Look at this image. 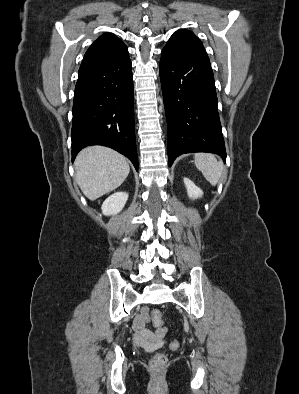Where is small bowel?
I'll use <instances>...</instances> for the list:
<instances>
[{"label":"small bowel","instance_id":"obj_1","mask_svg":"<svg viewBox=\"0 0 299 394\" xmlns=\"http://www.w3.org/2000/svg\"><path fill=\"white\" fill-rule=\"evenodd\" d=\"M149 321V310L147 307H143L134 321V341L145 350L154 351L163 345L167 328L156 324L153 320L156 329L155 331H151L145 327Z\"/></svg>","mask_w":299,"mask_h":394}]
</instances>
